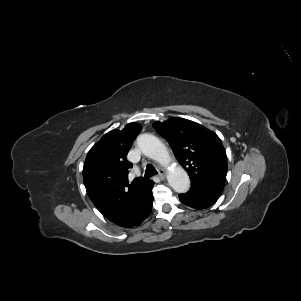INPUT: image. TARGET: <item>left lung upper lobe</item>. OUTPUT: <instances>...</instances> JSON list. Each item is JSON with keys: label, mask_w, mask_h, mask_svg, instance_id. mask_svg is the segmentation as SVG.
<instances>
[{"label": "left lung upper lobe", "mask_w": 301, "mask_h": 301, "mask_svg": "<svg viewBox=\"0 0 301 301\" xmlns=\"http://www.w3.org/2000/svg\"><path fill=\"white\" fill-rule=\"evenodd\" d=\"M153 127L171 145L178 162L189 174L191 185L223 191L227 156L214 132L183 118L155 122Z\"/></svg>", "instance_id": "1"}]
</instances>
